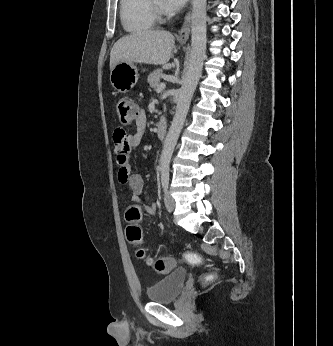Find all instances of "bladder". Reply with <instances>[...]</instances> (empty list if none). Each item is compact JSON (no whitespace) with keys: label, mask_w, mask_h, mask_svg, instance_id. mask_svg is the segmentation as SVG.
I'll return each instance as SVG.
<instances>
[{"label":"bladder","mask_w":333,"mask_h":346,"mask_svg":"<svg viewBox=\"0 0 333 346\" xmlns=\"http://www.w3.org/2000/svg\"><path fill=\"white\" fill-rule=\"evenodd\" d=\"M187 280L185 269H175L147 289V297L152 303H167L175 300Z\"/></svg>","instance_id":"obj_1"}]
</instances>
